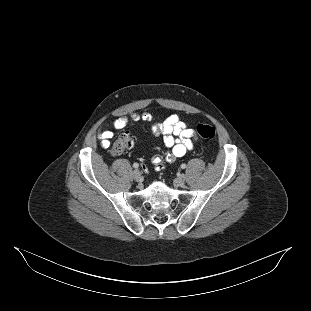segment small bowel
Masks as SVG:
<instances>
[{
    "label": "small bowel",
    "mask_w": 311,
    "mask_h": 311,
    "mask_svg": "<svg viewBox=\"0 0 311 311\" xmlns=\"http://www.w3.org/2000/svg\"><path fill=\"white\" fill-rule=\"evenodd\" d=\"M132 120L149 121L150 116L147 113L141 115L134 114ZM128 123L127 117H119L112 123V128L119 130L124 128ZM152 131L155 135L161 136L164 146L169 149L165 156L155 155L152 158L153 163L160 165L163 161L173 162L177 158L183 157L188 151L194 147V131L183 122L177 114L170 115L163 122H155L152 124ZM113 137L111 129L103 128L98 133V139L102 146L108 147Z\"/></svg>",
    "instance_id": "small-bowel-1"
}]
</instances>
